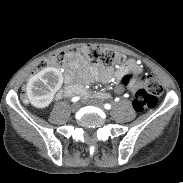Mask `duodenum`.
<instances>
[{"instance_id":"obj_1","label":"duodenum","mask_w":183,"mask_h":183,"mask_svg":"<svg viewBox=\"0 0 183 183\" xmlns=\"http://www.w3.org/2000/svg\"><path fill=\"white\" fill-rule=\"evenodd\" d=\"M65 94L67 96L78 94L79 97H84L85 96V91L83 90L82 87L69 85L65 89Z\"/></svg>"}]
</instances>
